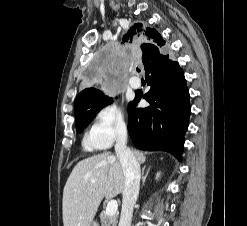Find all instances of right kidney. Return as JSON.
<instances>
[{
	"label": "right kidney",
	"instance_id": "1",
	"mask_svg": "<svg viewBox=\"0 0 247 226\" xmlns=\"http://www.w3.org/2000/svg\"><path fill=\"white\" fill-rule=\"evenodd\" d=\"M159 175H160V173H157V175H156V179H158Z\"/></svg>",
	"mask_w": 247,
	"mask_h": 226
}]
</instances>
